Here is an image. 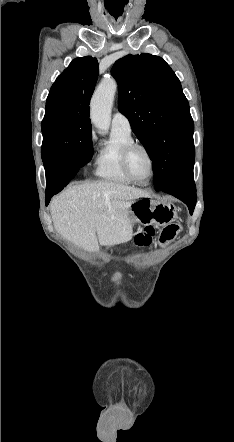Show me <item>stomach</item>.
I'll return each instance as SVG.
<instances>
[{
	"label": "stomach",
	"mask_w": 234,
	"mask_h": 442,
	"mask_svg": "<svg viewBox=\"0 0 234 442\" xmlns=\"http://www.w3.org/2000/svg\"><path fill=\"white\" fill-rule=\"evenodd\" d=\"M178 218L176 208L171 201H158L150 197H143L132 203L129 208V222L131 226L167 225Z\"/></svg>",
	"instance_id": "stomach-1"
}]
</instances>
